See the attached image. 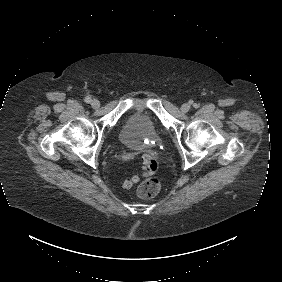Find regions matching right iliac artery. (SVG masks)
<instances>
[{
    "mask_svg": "<svg viewBox=\"0 0 282 282\" xmlns=\"http://www.w3.org/2000/svg\"><path fill=\"white\" fill-rule=\"evenodd\" d=\"M85 102H86V103H90V102H91V98H90V97H86V98H85Z\"/></svg>",
    "mask_w": 282,
    "mask_h": 282,
    "instance_id": "1",
    "label": "right iliac artery"
}]
</instances>
